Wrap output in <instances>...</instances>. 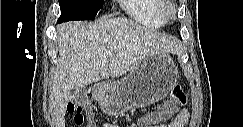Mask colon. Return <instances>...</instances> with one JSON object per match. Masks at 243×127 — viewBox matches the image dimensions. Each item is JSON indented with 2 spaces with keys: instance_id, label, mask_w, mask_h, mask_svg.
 <instances>
[{
  "instance_id": "5ec220e1",
  "label": "colon",
  "mask_w": 243,
  "mask_h": 127,
  "mask_svg": "<svg viewBox=\"0 0 243 127\" xmlns=\"http://www.w3.org/2000/svg\"><path fill=\"white\" fill-rule=\"evenodd\" d=\"M171 101L167 105L164 114L166 116H172L179 108L186 103V95L184 94L180 85H175L171 89L170 93ZM86 104L84 102L70 103L68 105V112L73 116V120L76 125H82L84 122V110Z\"/></svg>"
}]
</instances>
